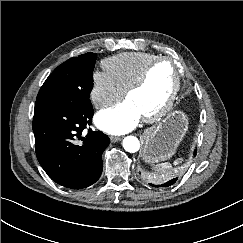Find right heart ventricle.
Wrapping results in <instances>:
<instances>
[{"label": "right heart ventricle", "mask_w": 243, "mask_h": 243, "mask_svg": "<svg viewBox=\"0 0 243 243\" xmlns=\"http://www.w3.org/2000/svg\"><path fill=\"white\" fill-rule=\"evenodd\" d=\"M157 55L146 52L120 53L104 60L103 66L119 86L125 88L135 80Z\"/></svg>", "instance_id": "1"}]
</instances>
